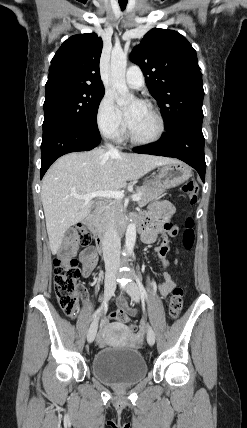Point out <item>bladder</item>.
<instances>
[{
    "instance_id": "obj_1",
    "label": "bladder",
    "mask_w": 247,
    "mask_h": 428,
    "mask_svg": "<svg viewBox=\"0 0 247 428\" xmlns=\"http://www.w3.org/2000/svg\"><path fill=\"white\" fill-rule=\"evenodd\" d=\"M91 370L101 381L116 385H131L147 373L143 356L129 347H110L98 351L92 360Z\"/></svg>"
}]
</instances>
